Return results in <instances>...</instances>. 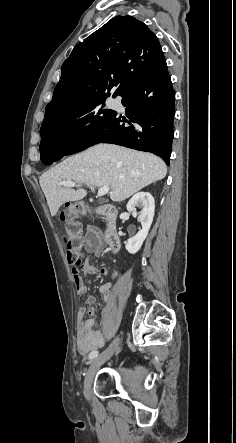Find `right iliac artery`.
Here are the masks:
<instances>
[{
  "label": "right iliac artery",
  "instance_id": "obj_1",
  "mask_svg": "<svg viewBox=\"0 0 236 443\" xmlns=\"http://www.w3.org/2000/svg\"><path fill=\"white\" fill-rule=\"evenodd\" d=\"M98 355V351L97 350H93L90 354H89V359L92 360L95 357H97Z\"/></svg>",
  "mask_w": 236,
  "mask_h": 443
}]
</instances>
